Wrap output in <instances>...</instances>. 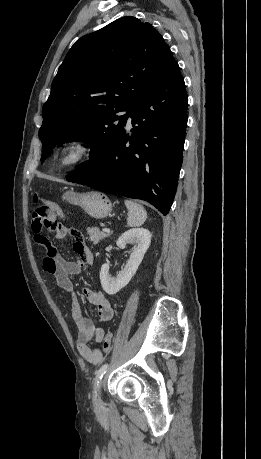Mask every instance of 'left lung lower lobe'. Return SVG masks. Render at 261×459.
I'll return each mask as SVG.
<instances>
[{
  "label": "left lung lower lobe",
  "mask_w": 261,
  "mask_h": 459,
  "mask_svg": "<svg viewBox=\"0 0 261 459\" xmlns=\"http://www.w3.org/2000/svg\"><path fill=\"white\" fill-rule=\"evenodd\" d=\"M188 96L178 63L132 109L131 134H121L90 170L66 180L146 200L166 215L177 189L187 126ZM129 143V144H128Z\"/></svg>",
  "instance_id": "obj_1"
}]
</instances>
